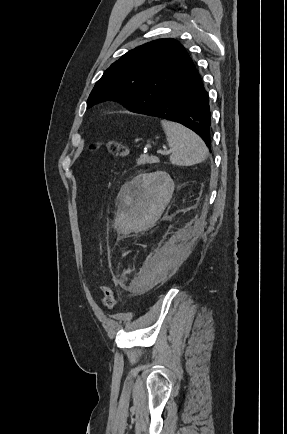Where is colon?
Masks as SVG:
<instances>
[{
	"label": "colon",
	"mask_w": 287,
	"mask_h": 434,
	"mask_svg": "<svg viewBox=\"0 0 287 434\" xmlns=\"http://www.w3.org/2000/svg\"><path fill=\"white\" fill-rule=\"evenodd\" d=\"M94 149H102L113 157H125L128 155V148L120 141L109 140L103 144H97ZM116 293L110 285L102 286L101 302L107 309H112L115 305Z\"/></svg>",
	"instance_id": "1"
}]
</instances>
